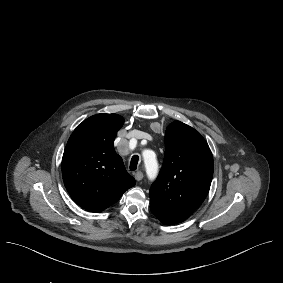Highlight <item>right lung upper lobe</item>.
Returning a JSON list of instances; mask_svg holds the SVG:
<instances>
[{
	"label": "right lung upper lobe",
	"instance_id": "cb5924a9",
	"mask_svg": "<svg viewBox=\"0 0 283 283\" xmlns=\"http://www.w3.org/2000/svg\"><path fill=\"white\" fill-rule=\"evenodd\" d=\"M124 119L117 114H97L72 133L62 158V175L71 198L82 208L101 212L135 185L114 139Z\"/></svg>",
	"mask_w": 283,
	"mask_h": 283
}]
</instances>
